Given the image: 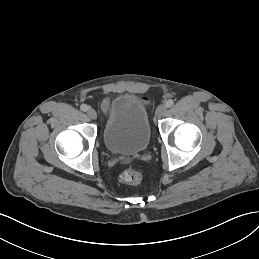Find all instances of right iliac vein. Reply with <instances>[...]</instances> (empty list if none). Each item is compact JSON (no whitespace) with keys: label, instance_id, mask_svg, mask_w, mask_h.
<instances>
[{"label":"right iliac vein","instance_id":"1","mask_svg":"<svg viewBox=\"0 0 259 259\" xmlns=\"http://www.w3.org/2000/svg\"><path fill=\"white\" fill-rule=\"evenodd\" d=\"M87 115H88L89 118H91V119H93V120H95V119L97 118V113H96V111H95L94 109H92V108H88V110H87Z\"/></svg>","mask_w":259,"mask_h":259}]
</instances>
